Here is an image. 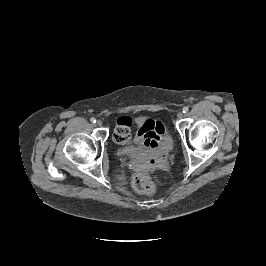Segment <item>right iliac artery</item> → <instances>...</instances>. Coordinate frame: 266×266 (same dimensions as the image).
<instances>
[{
	"instance_id": "obj_1",
	"label": "right iliac artery",
	"mask_w": 266,
	"mask_h": 266,
	"mask_svg": "<svg viewBox=\"0 0 266 266\" xmlns=\"http://www.w3.org/2000/svg\"><path fill=\"white\" fill-rule=\"evenodd\" d=\"M90 121H91L92 123H96V119H95L94 117L91 118Z\"/></svg>"
}]
</instances>
